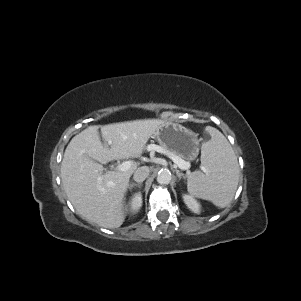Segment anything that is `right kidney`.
I'll return each instance as SVG.
<instances>
[{"instance_id":"right-kidney-1","label":"right kidney","mask_w":301,"mask_h":301,"mask_svg":"<svg viewBox=\"0 0 301 301\" xmlns=\"http://www.w3.org/2000/svg\"><path fill=\"white\" fill-rule=\"evenodd\" d=\"M130 210L132 212H137L142 206V195L141 193H136L133 195L129 202Z\"/></svg>"}]
</instances>
